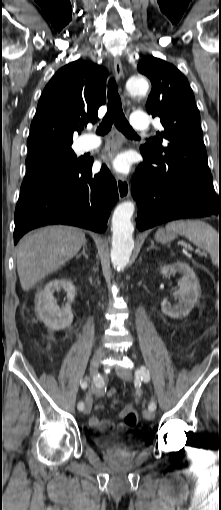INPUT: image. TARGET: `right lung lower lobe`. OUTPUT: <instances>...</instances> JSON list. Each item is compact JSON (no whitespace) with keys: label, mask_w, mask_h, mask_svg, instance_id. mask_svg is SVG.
Segmentation results:
<instances>
[{"label":"right lung lower lobe","mask_w":221,"mask_h":510,"mask_svg":"<svg viewBox=\"0 0 221 510\" xmlns=\"http://www.w3.org/2000/svg\"><path fill=\"white\" fill-rule=\"evenodd\" d=\"M93 160L84 161L74 176L45 182L19 198L15 210L14 244L28 231L49 224H66L104 232L119 196L117 184L103 165L92 175Z\"/></svg>","instance_id":"1"}]
</instances>
